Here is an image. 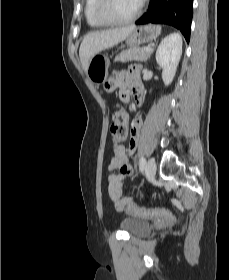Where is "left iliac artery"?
<instances>
[{
  "label": "left iliac artery",
  "instance_id": "left-iliac-artery-1",
  "mask_svg": "<svg viewBox=\"0 0 229 280\" xmlns=\"http://www.w3.org/2000/svg\"><path fill=\"white\" fill-rule=\"evenodd\" d=\"M139 168L141 172H143L144 169L146 168V159L143 156L140 157Z\"/></svg>",
  "mask_w": 229,
  "mask_h": 280
}]
</instances>
